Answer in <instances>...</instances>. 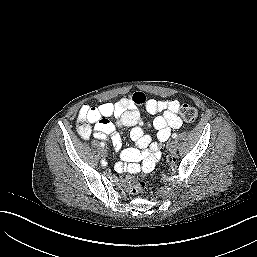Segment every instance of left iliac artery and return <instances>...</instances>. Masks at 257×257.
<instances>
[{
	"label": "left iliac artery",
	"mask_w": 257,
	"mask_h": 257,
	"mask_svg": "<svg viewBox=\"0 0 257 257\" xmlns=\"http://www.w3.org/2000/svg\"><path fill=\"white\" fill-rule=\"evenodd\" d=\"M177 137V134L176 133H173L172 134V138H176Z\"/></svg>",
	"instance_id": "left-iliac-artery-1"
}]
</instances>
